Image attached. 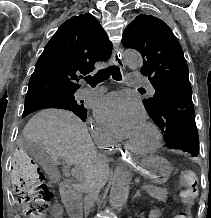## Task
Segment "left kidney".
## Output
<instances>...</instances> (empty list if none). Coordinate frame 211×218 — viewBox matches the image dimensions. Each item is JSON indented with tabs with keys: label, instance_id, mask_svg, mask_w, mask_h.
Segmentation results:
<instances>
[{
	"label": "left kidney",
	"instance_id": "5707ae66",
	"mask_svg": "<svg viewBox=\"0 0 211 218\" xmlns=\"http://www.w3.org/2000/svg\"><path fill=\"white\" fill-rule=\"evenodd\" d=\"M151 214L153 218H160L161 217L160 207H155V210H152Z\"/></svg>",
	"mask_w": 211,
	"mask_h": 218
}]
</instances>
